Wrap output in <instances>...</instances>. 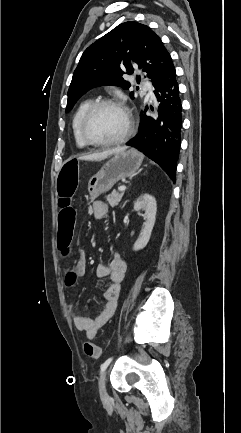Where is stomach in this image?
I'll return each mask as SVG.
<instances>
[{"label": "stomach", "instance_id": "obj_1", "mask_svg": "<svg viewBox=\"0 0 241 433\" xmlns=\"http://www.w3.org/2000/svg\"><path fill=\"white\" fill-rule=\"evenodd\" d=\"M142 163V155L135 149L114 154L103 167L91 177L88 193L91 200L109 191L121 179L133 176Z\"/></svg>", "mask_w": 241, "mask_h": 433}]
</instances>
